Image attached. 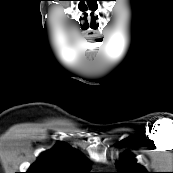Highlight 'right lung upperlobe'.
Instances as JSON below:
<instances>
[{
  "label": "right lung upper lobe",
  "instance_id": "1",
  "mask_svg": "<svg viewBox=\"0 0 173 173\" xmlns=\"http://www.w3.org/2000/svg\"><path fill=\"white\" fill-rule=\"evenodd\" d=\"M91 163L77 150L59 143L43 152L26 173H89Z\"/></svg>",
  "mask_w": 173,
  "mask_h": 173
}]
</instances>
